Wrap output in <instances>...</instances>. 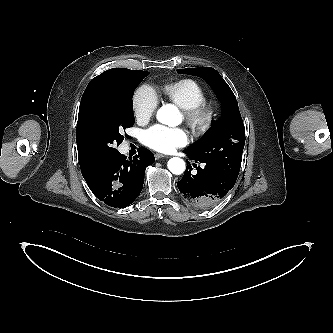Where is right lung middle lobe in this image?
<instances>
[{
    "instance_id": "dd1d6c3e",
    "label": "right lung middle lobe",
    "mask_w": 333,
    "mask_h": 333,
    "mask_svg": "<svg viewBox=\"0 0 333 333\" xmlns=\"http://www.w3.org/2000/svg\"><path fill=\"white\" fill-rule=\"evenodd\" d=\"M148 74L134 70L117 77L94 94L80 139L84 151L95 162L104 164L118 153L115 146L124 139L123 129L134 124V90Z\"/></svg>"
}]
</instances>
